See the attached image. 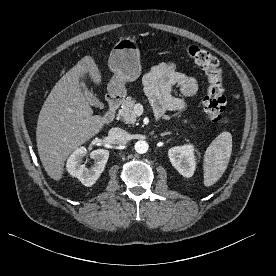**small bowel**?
I'll list each match as a JSON object with an SVG mask.
<instances>
[{"label": "small bowel", "mask_w": 276, "mask_h": 276, "mask_svg": "<svg viewBox=\"0 0 276 276\" xmlns=\"http://www.w3.org/2000/svg\"><path fill=\"white\" fill-rule=\"evenodd\" d=\"M145 92L156 115L166 111L180 112L185 109L182 99L172 95V89L178 86L186 96H193L198 90L195 78L181 72L173 63H161L154 66L143 79Z\"/></svg>", "instance_id": "c3829d8e"}]
</instances>
